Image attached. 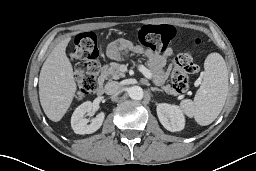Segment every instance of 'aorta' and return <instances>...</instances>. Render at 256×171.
<instances>
[{
	"instance_id": "aorta-1",
	"label": "aorta",
	"mask_w": 256,
	"mask_h": 171,
	"mask_svg": "<svg viewBox=\"0 0 256 171\" xmlns=\"http://www.w3.org/2000/svg\"><path fill=\"white\" fill-rule=\"evenodd\" d=\"M128 94L133 100H141L144 96L143 89L140 86H133L129 88Z\"/></svg>"
}]
</instances>
